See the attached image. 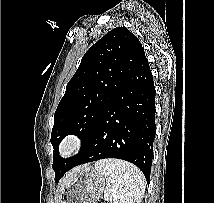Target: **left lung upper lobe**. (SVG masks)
Returning a JSON list of instances; mask_svg holds the SVG:
<instances>
[{"mask_svg":"<svg viewBox=\"0 0 214 203\" xmlns=\"http://www.w3.org/2000/svg\"><path fill=\"white\" fill-rule=\"evenodd\" d=\"M144 56L139 39L126 27L112 29L84 54L54 114L51 144L56 182L80 153L61 158V140L78 135L82 150L99 116Z\"/></svg>","mask_w":214,"mask_h":203,"instance_id":"5c2ea615","label":"left lung upper lobe"}]
</instances>
